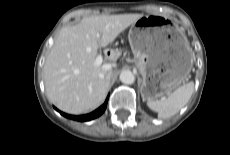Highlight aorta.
Masks as SVG:
<instances>
[{"label":"aorta","mask_w":230,"mask_h":155,"mask_svg":"<svg viewBox=\"0 0 230 155\" xmlns=\"http://www.w3.org/2000/svg\"><path fill=\"white\" fill-rule=\"evenodd\" d=\"M119 79L124 84H133L135 82V75L130 70H123L120 73Z\"/></svg>","instance_id":"obj_1"}]
</instances>
